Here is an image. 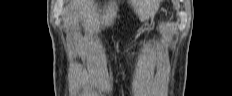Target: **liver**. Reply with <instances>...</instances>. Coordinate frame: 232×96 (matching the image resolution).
Wrapping results in <instances>:
<instances>
[{
  "mask_svg": "<svg viewBox=\"0 0 232 96\" xmlns=\"http://www.w3.org/2000/svg\"><path fill=\"white\" fill-rule=\"evenodd\" d=\"M141 21L148 19L158 9V0H133L130 2ZM70 11L83 19L85 30H99L100 26H112L117 17L118 5L110 0L105 7L97 11L94 0H70Z\"/></svg>",
  "mask_w": 232,
  "mask_h": 96,
  "instance_id": "1",
  "label": "liver"
}]
</instances>
